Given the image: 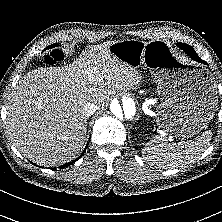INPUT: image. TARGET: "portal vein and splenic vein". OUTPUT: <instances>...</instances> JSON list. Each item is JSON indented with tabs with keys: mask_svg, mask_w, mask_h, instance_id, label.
Returning a JSON list of instances; mask_svg holds the SVG:
<instances>
[{
	"mask_svg": "<svg viewBox=\"0 0 222 222\" xmlns=\"http://www.w3.org/2000/svg\"><path fill=\"white\" fill-rule=\"evenodd\" d=\"M160 133H161L163 136L168 135V134H166L164 131H160ZM167 140H168L170 143L174 144V138H173L172 135H168Z\"/></svg>",
	"mask_w": 222,
	"mask_h": 222,
	"instance_id": "obj_1",
	"label": "portal vein and splenic vein"
}]
</instances>
